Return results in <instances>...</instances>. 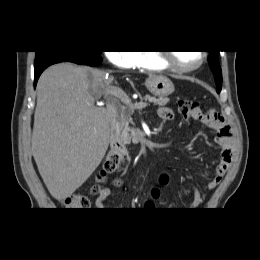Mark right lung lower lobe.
I'll return each mask as SVG.
<instances>
[{"instance_id": "obj_1", "label": "right lung lower lobe", "mask_w": 260, "mask_h": 260, "mask_svg": "<svg viewBox=\"0 0 260 260\" xmlns=\"http://www.w3.org/2000/svg\"><path fill=\"white\" fill-rule=\"evenodd\" d=\"M73 62L81 65L97 66L102 62L100 55L82 52H57L49 55L39 63L34 65L35 78L34 86L44 69L59 62Z\"/></svg>"}]
</instances>
